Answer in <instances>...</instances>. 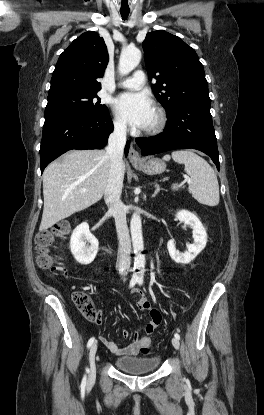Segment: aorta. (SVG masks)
<instances>
[{"label": "aorta", "mask_w": 264, "mask_h": 415, "mask_svg": "<svg viewBox=\"0 0 264 415\" xmlns=\"http://www.w3.org/2000/svg\"><path fill=\"white\" fill-rule=\"evenodd\" d=\"M141 51L137 48H127L122 51L119 59V72L122 75L130 73L140 62ZM130 231L132 245L134 249V266L136 268H144L145 256L142 254L144 250L142 224L139 214L134 213L130 222Z\"/></svg>", "instance_id": "1"}]
</instances>
